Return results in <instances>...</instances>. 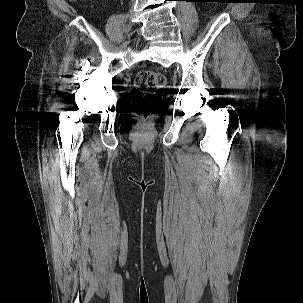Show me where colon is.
<instances>
[{
    "mask_svg": "<svg viewBox=\"0 0 303 303\" xmlns=\"http://www.w3.org/2000/svg\"><path fill=\"white\" fill-rule=\"evenodd\" d=\"M166 79L152 70H144L137 74L134 85L138 92L133 97V104L143 118H148L167 102L166 94L162 91Z\"/></svg>",
    "mask_w": 303,
    "mask_h": 303,
    "instance_id": "obj_1",
    "label": "colon"
}]
</instances>
